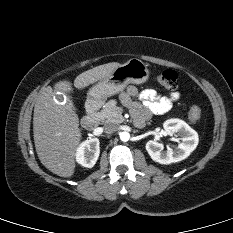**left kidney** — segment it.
I'll return each mask as SVG.
<instances>
[{
  "label": "left kidney",
  "mask_w": 233,
  "mask_h": 233,
  "mask_svg": "<svg viewBox=\"0 0 233 233\" xmlns=\"http://www.w3.org/2000/svg\"><path fill=\"white\" fill-rule=\"evenodd\" d=\"M165 133L172 139H180L177 147L163 151V145L154 140L146 143V150L151 159L160 164H171L186 159L198 145V133L180 119H170L163 124Z\"/></svg>",
  "instance_id": "5707ae66"
}]
</instances>
